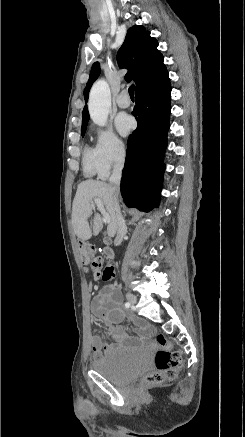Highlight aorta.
Returning a JSON list of instances; mask_svg holds the SVG:
<instances>
[{"label":"aorta","instance_id":"obj_1","mask_svg":"<svg viewBox=\"0 0 245 437\" xmlns=\"http://www.w3.org/2000/svg\"><path fill=\"white\" fill-rule=\"evenodd\" d=\"M111 94L108 83L101 79L94 83L91 88L88 102V110L92 121L104 126L108 119Z\"/></svg>","mask_w":245,"mask_h":437}]
</instances>
